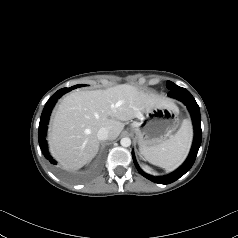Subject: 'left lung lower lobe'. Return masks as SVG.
Listing matches in <instances>:
<instances>
[{"mask_svg":"<svg viewBox=\"0 0 238 238\" xmlns=\"http://www.w3.org/2000/svg\"><path fill=\"white\" fill-rule=\"evenodd\" d=\"M168 95L182 101L189 109L192 116L193 125H194V141H193L190 154L187 160L184 162V164L173 173L163 177H154L143 172L138 166L134 153L132 152L133 161L138 172L145 178L159 184L172 183L176 181L177 179H179L180 177H182L186 172L190 170V168L195 162L199 147L201 145V140H202L200 109L195 99L191 95V93L185 88L177 86L174 89H171Z\"/></svg>","mask_w":238,"mask_h":238,"instance_id":"left-lung-lower-lobe-1","label":"left lung lower lobe"}]
</instances>
